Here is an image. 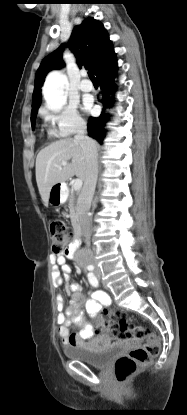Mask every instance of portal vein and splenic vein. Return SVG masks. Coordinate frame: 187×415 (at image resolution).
<instances>
[{"label":"portal vein and splenic vein","mask_w":187,"mask_h":415,"mask_svg":"<svg viewBox=\"0 0 187 415\" xmlns=\"http://www.w3.org/2000/svg\"><path fill=\"white\" fill-rule=\"evenodd\" d=\"M61 165L62 166H65V165H67V162H62L61 163ZM60 166V165H59ZM58 166V167H59ZM82 187V180L81 179H75V181H74V183H73V189L75 190V191H77V190H80V188Z\"/></svg>","instance_id":"1"}]
</instances>
